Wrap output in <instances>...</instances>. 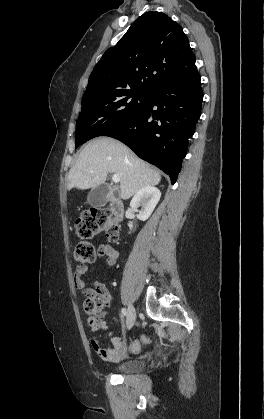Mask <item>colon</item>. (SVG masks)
<instances>
[{"mask_svg": "<svg viewBox=\"0 0 264 419\" xmlns=\"http://www.w3.org/2000/svg\"><path fill=\"white\" fill-rule=\"evenodd\" d=\"M75 228L80 240L74 249V259L80 264H90L95 260V249L89 241L90 238L102 232L111 242L117 241L119 237L118 223L107 209L95 208L85 212L77 218ZM99 308L100 302L95 297L85 298L84 309L89 314L88 323L92 328L97 325L96 313ZM148 341L147 336H141L132 343L131 347L137 351Z\"/></svg>", "mask_w": 264, "mask_h": 419, "instance_id": "1", "label": "colon"}]
</instances>
